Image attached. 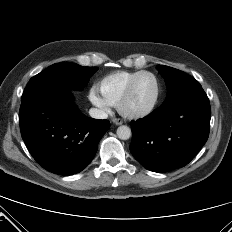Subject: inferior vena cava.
<instances>
[{
	"instance_id": "inferior-vena-cava-1",
	"label": "inferior vena cava",
	"mask_w": 232,
	"mask_h": 232,
	"mask_svg": "<svg viewBox=\"0 0 232 232\" xmlns=\"http://www.w3.org/2000/svg\"><path fill=\"white\" fill-rule=\"evenodd\" d=\"M89 115L95 119H107L108 117V114L106 112L97 108H91L89 110Z\"/></svg>"
}]
</instances>
